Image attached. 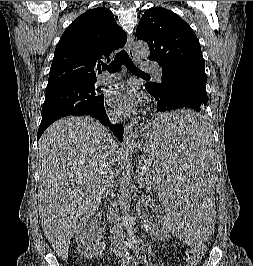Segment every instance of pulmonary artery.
<instances>
[{"instance_id": "e3ab8cb5", "label": "pulmonary artery", "mask_w": 253, "mask_h": 266, "mask_svg": "<svg viewBox=\"0 0 253 266\" xmlns=\"http://www.w3.org/2000/svg\"><path fill=\"white\" fill-rule=\"evenodd\" d=\"M144 69L153 73L155 78L159 81L162 80V70L159 66H153V65H144ZM118 78V74L117 73H104L103 75H101L99 77V82L101 83H111L116 81Z\"/></svg>"}]
</instances>
